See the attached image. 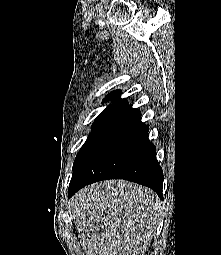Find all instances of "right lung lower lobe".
Returning <instances> with one entry per match:
<instances>
[{"instance_id": "1", "label": "right lung lower lobe", "mask_w": 221, "mask_h": 255, "mask_svg": "<svg viewBox=\"0 0 221 255\" xmlns=\"http://www.w3.org/2000/svg\"><path fill=\"white\" fill-rule=\"evenodd\" d=\"M148 130L139 110L131 105L116 110L73 169L69 197L100 180L125 179L153 189L163 199L164 176Z\"/></svg>"}]
</instances>
